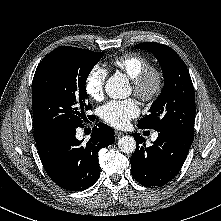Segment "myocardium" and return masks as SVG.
Returning <instances> with one entry per match:
<instances>
[{
	"mask_svg": "<svg viewBox=\"0 0 221 221\" xmlns=\"http://www.w3.org/2000/svg\"><path fill=\"white\" fill-rule=\"evenodd\" d=\"M164 85V73L159 68L152 66L133 80L135 94L145 102L155 100L162 93Z\"/></svg>",
	"mask_w": 221,
	"mask_h": 221,
	"instance_id": "obj_1",
	"label": "myocardium"
}]
</instances>
